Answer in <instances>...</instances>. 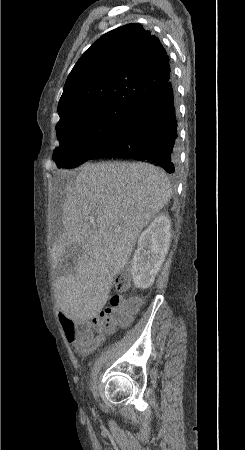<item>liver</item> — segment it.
Segmentation results:
<instances>
[{
  "label": "liver",
  "mask_w": 245,
  "mask_h": 450,
  "mask_svg": "<svg viewBox=\"0 0 245 450\" xmlns=\"http://www.w3.org/2000/svg\"><path fill=\"white\" fill-rule=\"evenodd\" d=\"M79 170L66 184L65 232L51 258L57 270L68 247L82 249L71 271L57 276L55 294L65 315L89 319L105 306L138 236L170 201L172 189L166 174L147 163H86Z\"/></svg>",
  "instance_id": "obj_1"
}]
</instances>
